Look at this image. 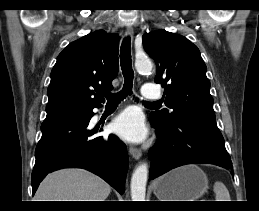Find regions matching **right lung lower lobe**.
<instances>
[{
  "label": "right lung lower lobe",
  "mask_w": 259,
  "mask_h": 211,
  "mask_svg": "<svg viewBox=\"0 0 259 211\" xmlns=\"http://www.w3.org/2000/svg\"><path fill=\"white\" fill-rule=\"evenodd\" d=\"M94 113L68 115L44 120L42 137L37 145L32 172V191L36 192L44 177L61 168L87 169L108 182L120 194L125 191L128 154L117 137L95 136L88 127Z\"/></svg>",
  "instance_id": "right-lung-lower-lobe-1"
}]
</instances>
